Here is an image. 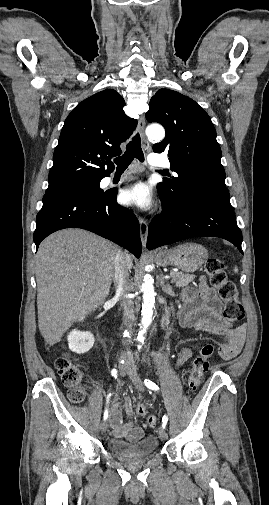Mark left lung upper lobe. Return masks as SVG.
I'll use <instances>...</instances> for the list:
<instances>
[{"mask_svg": "<svg viewBox=\"0 0 269 505\" xmlns=\"http://www.w3.org/2000/svg\"><path fill=\"white\" fill-rule=\"evenodd\" d=\"M146 119L164 126L165 139L153 145V151L168 153L172 170L178 174L158 183V192L175 199L184 188L195 184L226 188L214 125L194 100L160 89L150 100Z\"/></svg>", "mask_w": 269, "mask_h": 505, "instance_id": "left-lung-upper-lobe-1", "label": "left lung upper lobe"}]
</instances>
